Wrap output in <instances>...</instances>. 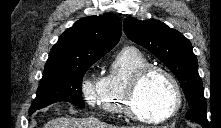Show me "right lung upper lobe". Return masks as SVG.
I'll use <instances>...</instances> for the list:
<instances>
[{
	"label": "right lung upper lobe",
	"instance_id": "obj_1",
	"mask_svg": "<svg viewBox=\"0 0 221 128\" xmlns=\"http://www.w3.org/2000/svg\"><path fill=\"white\" fill-rule=\"evenodd\" d=\"M121 34V20L114 14L82 18L62 33L44 71L101 58L118 43Z\"/></svg>",
	"mask_w": 221,
	"mask_h": 128
}]
</instances>
